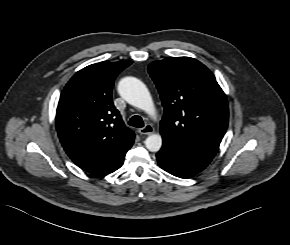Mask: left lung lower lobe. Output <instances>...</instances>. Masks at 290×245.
<instances>
[{"mask_svg":"<svg viewBox=\"0 0 290 245\" xmlns=\"http://www.w3.org/2000/svg\"><path fill=\"white\" fill-rule=\"evenodd\" d=\"M156 157L161 168L180 178L193 177L205 169L213 159L165 140Z\"/></svg>","mask_w":290,"mask_h":245,"instance_id":"0a47b994","label":"left lung lower lobe"}]
</instances>
